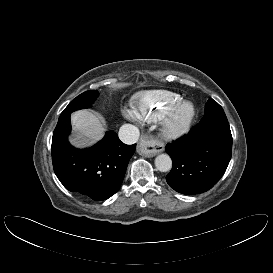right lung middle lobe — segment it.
<instances>
[{
	"mask_svg": "<svg viewBox=\"0 0 273 273\" xmlns=\"http://www.w3.org/2000/svg\"><path fill=\"white\" fill-rule=\"evenodd\" d=\"M97 96L98 92L96 90H90L80 94L64 109L59 119L69 116L73 111L90 107Z\"/></svg>",
	"mask_w": 273,
	"mask_h": 273,
	"instance_id": "obj_1",
	"label": "right lung middle lobe"
}]
</instances>
